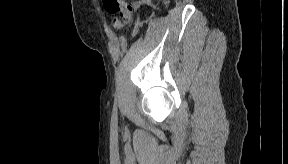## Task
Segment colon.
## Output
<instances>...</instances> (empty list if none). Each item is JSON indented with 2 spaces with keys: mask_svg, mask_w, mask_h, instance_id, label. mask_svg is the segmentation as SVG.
<instances>
[{
  "mask_svg": "<svg viewBox=\"0 0 288 164\" xmlns=\"http://www.w3.org/2000/svg\"><path fill=\"white\" fill-rule=\"evenodd\" d=\"M107 10L111 13L118 14L117 17L110 19V26L118 30L126 25L134 14V7L127 3L126 0H105Z\"/></svg>",
  "mask_w": 288,
  "mask_h": 164,
  "instance_id": "colon-1",
  "label": "colon"
}]
</instances>
